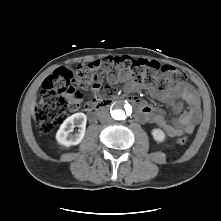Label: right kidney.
Listing matches in <instances>:
<instances>
[{
    "mask_svg": "<svg viewBox=\"0 0 221 221\" xmlns=\"http://www.w3.org/2000/svg\"><path fill=\"white\" fill-rule=\"evenodd\" d=\"M87 117L84 113H75L64 120L56 133V140L59 144L66 147L79 144L85 135ZM77 126L78 132L71 134L74 127Z\"/></svg>",
    "mask_w": 221,
    "mask_h": 221,
    "instance_id": "ca27d5eb",
    "label": "right kidney"
}]
</instances>
